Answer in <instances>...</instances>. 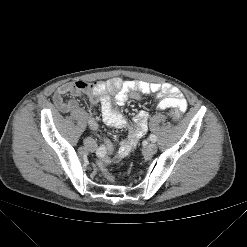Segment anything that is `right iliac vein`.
I'll return each mask as SVG.
<instances>
[{
    "instance_id": "1",
    "label": "right iliac vein",
    "mask_w": 247,
    "mask_h": 247,
    "mask_svg": "<svg viewBox=\"0 0 247 247\" xmlns=\"http://www.w3.org/2000/svg\"><path fill=\"white\" fill-rule=\"evenodd\" d=\"M84 146L88 150H94L96 147V142L94 141V139L88 137L84 140Z\"/></svg>"
}]
</instances>
